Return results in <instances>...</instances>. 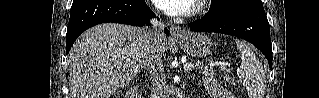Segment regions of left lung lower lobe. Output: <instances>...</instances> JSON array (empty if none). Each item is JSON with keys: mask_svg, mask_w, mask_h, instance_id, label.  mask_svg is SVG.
Listing matches in <instances>:
<instances>
[{"mask_svg": "<svg viewBox=\"0 0 319 98\" xmlns=\"http://www.w3.org/2000/svg\"><path fill=\"white\" fill-rule=\"evenodd\" d=\"M189 26L190 30L195 32H216L245 39L265 55L270 68L272 67L269 23L261 0L240 2L218 18L203 17Z\"/></svg>", "mask_w": 319, "mask_h": 98, "instance_id": "1", "label": "left lung lower lobe"}]
</instances>
